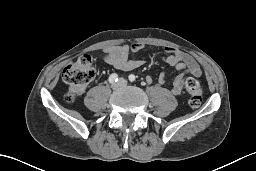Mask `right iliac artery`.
<instances>
[{
	"mask_svg": "<svg viewBox=\"0 0 256 171\" xmlns=\"http://www.w3.org/2000/svg\"><path fill=\"white\" fill-rule=\"evenodd\" d=\"M118 81V75L113 73L109 76V83L113 84Z\"/></svg>",
	"mask_w": 256,
	"mask_h": 171,
	"instance_id": "right-iliac-artery-1",
	"label": "right iliac artery"
}]
</instances>
